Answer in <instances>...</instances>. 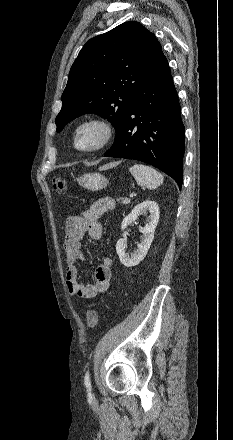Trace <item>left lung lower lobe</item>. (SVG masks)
Returning <instances> with one entry per match:
<instances>
[{
	"label": "left lung lower lobe",
	"mask_w": 233,
	"mask_h": 440,
	"mask_svg": "<svg viewBox=\"0 0 233 440\" xmlns=\"http://www.w3.org/2000/svg\"><path fill=\"white\" fill-rule=\"evenodd\" d=\"M168 61L162 53L133 97L105 157L135 159L171 176L181 187L185 128Z\"/></svg>",
	"instance_id": "0a47b994"
}]
</instances>
